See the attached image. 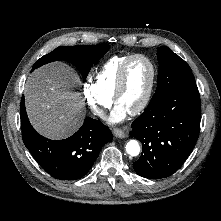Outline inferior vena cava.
I'll use <instances>...</instances> for the list:
<instances>
[{"instance_id":"602c4592","label":"inferior vena cava","mask_w":221,"mask_h":221,"mask_svg":"<svg viewBox=\"0 0 221 221\" xmlns=\"http://www.w3.org/2000/svg\"><path fill=\"white\" fill-rule=\"evenodd\" d=\"M98 116H100L101 118L105 117V113L103 110H99L98 111Z\"/></svg>"}]
</instances>
